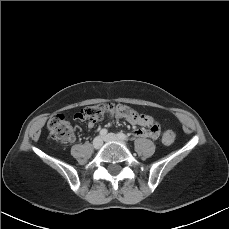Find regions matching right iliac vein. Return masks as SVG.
Wrapping results in <instances>:
<instances>
[{"label":"right iliac vein","instance_id":"obj_1","mask_svg":"<svg viewBox=\"0 0 229 229\" xmlns=\"http://www.w3.org/2000/svg\"><path fill=\"white\" fill-rule=\"evenodd\" d=\"M102 144H103V139H102V137L97 136L96 138H94V140H93V147H94L95 149L101 148Z\"/></svg>","mask_w":229,"mask_h":229}]
</instances>
